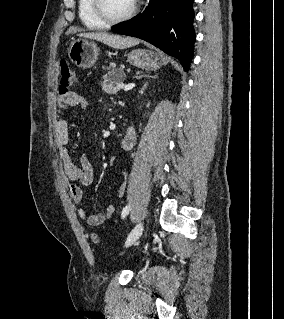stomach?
<instances>
[{
    "label": "stomach",
    "instance_id": "0dacf381",
    "mask_svg": "<svg viewBox=\"0 0 284 319\" xmlns=\"http://www.w3.org/2000/svg\"><path fill=\"white\" fill-rule=\"evenodd\" d=\"M99 49L93 41L87 39L74 40L68 48V56L70 60L83 69L91 68L97 60ZM127 61L140 69L154 71L160 68L161 58L158 53L137 49L128 53Z\"/></svg>",
    "mask_w": 284,
    "mask_h": 319
}]
</instances>
